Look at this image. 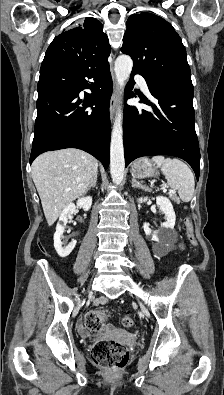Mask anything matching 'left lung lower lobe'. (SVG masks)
Masks as SVG:
<instances>
[{"label":"left lung lower lobe","mask_w":224,"mask_h":395,"mask_svg":"<svg viewBox=\"0 0 224 395\" xmlns=\"http://www.w3.org/2000/svg\"><path fill=\"white\" fill-rule=\"evenodd\" d=\"M135 74L139 73L132 71L125 99L134 96L132 87ZM144 78L157 101L155 104L145 102L152 106V112L125 106V166L142 156L171 155L188 162L198 180L200 150L195 132L193 86Z\"/></svg>","instance_id":"0a47b994"}]
</instances>
